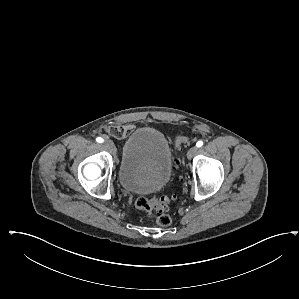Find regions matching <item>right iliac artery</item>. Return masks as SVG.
I'll return each instance as SVG.
<instances>
[{
  "label": "right iliac artery",
  "mask_w": 299,
  "mask_h": 299,
  "mask_svg": "<svg viewBox=\"0 0 299 299\" xmlns=\"http://www.w3.org/2000/svg\"><path fill=\"white\" fill-rule=\"evenodd\" d=\"M96 141H97L98 143H103V142H104L103 138H101V137H97V138H96Z\"/></svg>",
  "instance_id": "1"
}]
</instances>
